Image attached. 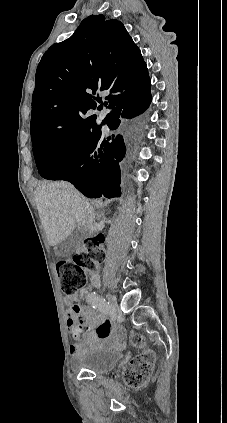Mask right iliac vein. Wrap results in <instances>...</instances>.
<instances>
[{"instance_id": "63e3f726", "label": "right iliac vein", "mask_w": 227, "mask_h": 423, "mask_svg": "<svg viewBox=\"0 0 227 423\" xmlns=\"http://www.w3.org/2000/svg\"><path fill=\"white\" fill-rule=\"evenodd\" d=\"M106 298H107L108 302L110 303L112 309H117V303H116L115 299L113 297H111L110 295H106Z\"/></svg>"}]
</instances>
